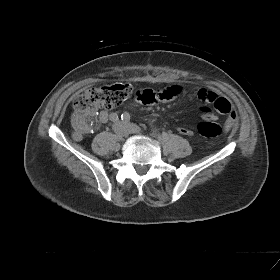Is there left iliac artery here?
<instances>
[{
  "label": "left iliac artery",
  "instance_id": "44dca946",
  "mask_svg": "<svg viewBox=\"0 0 280 280\" xmlns=\"http://www.w3.org/2000/svg\"><path fill=\"white\" fill-rule=\"evenodd\" d=\"M121 119H122V121H124V122H129L130 119H131V116L129 115V113L125 112V113H123V114L121 115ZM156 131H157V130H153V133L156 134Z\"/></svg>",
  "mask_w": 280,
  "mask_h": 280
}]
</instances>
